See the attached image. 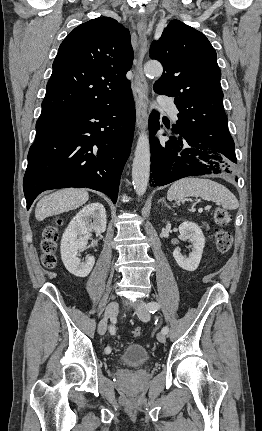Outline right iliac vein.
Listing matches in <instances>:
<instances>
[{
  "label": "right iliac vein",
  "mask_w": 262,
  "mask_h": 431,
  "mask_svg": "<svg viewBox=\"0 0 262 431\" xmlns=\"http://www.w3.org/2000/svg\"><path fill=\"white\" fill-rule=\"evenodd\" d=\"M118 309H119V303L117 301H112L107 305L105 314L103 318L100 320L98 325L99 334L104 335L106 333L108 319L114 317L118 312Z\"/></svg>",
  "instance_id": "right-iliac-vein-1"
}]
</instances>
